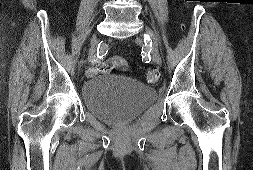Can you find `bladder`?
<instances>
[{
  "instance_id": "31cf9c89",
  "label": "bladder",
  "mask_w": 253,
  "mask_h": 170,
  "mask_svg": "<svg viewBox=\"0 0 253 170\" xmlns=\"http://www.w3.org/2000/svg\"><path fill=\"white\" fill-rule=\"evenodd\" d=\"M81 95L90 113L113 124L135 119L156 101L154 87L111 73L85 81Z\"/></svg>"
}]
</instances>
